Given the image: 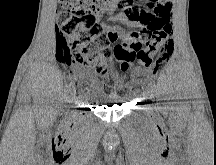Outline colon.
<instances>
[{
	"instance_id": "obj_1",
	"label": "colon",
	"mask_w": 216,
	"mask_h": 165,
	"mask_svg": "<svg viewBox=\"0 0 216 165\" xmlns=\"http://www.w3.org/2000/svg\"><path fill=\"white\" fill-rule=\"evenodd\" d=\"M63 8L56 26V55L63 62L90 69L100 78L110 73L112 58L123 69L131 62L158 70L174 49L169 10L157 13H129L134 19L147 22L144 29L134 31L132 39L110 47L108 36L98 22L97 15L117 0H59ZM134 0H121L127 5ZM141 41H146L143 48Z\"/></svg>"
}]
</instances>
